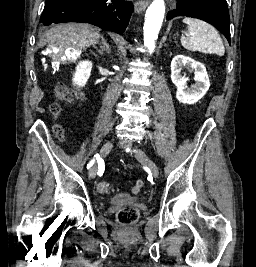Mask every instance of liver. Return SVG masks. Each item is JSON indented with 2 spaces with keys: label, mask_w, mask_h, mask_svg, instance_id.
<instances>
[{
  "label": "liver",
  "mask_w": 256,
  "mask_h": 267,
  "mask_svg": "<svg viewBox=\"0 0 256 267\" xmlns=\"http://www.w3.org/2000/svg\"><path fill=\"white\" fill-rule=\"evenodd\" d=\"M46 38L50 42L47 56L51 58L52 62H61V58L65 56L68 48H73L72 54H74L70 62H76L89 46L98 44L100 32L90 24H57L48 30ZM73 42H77L76 46H72ZM53 48H56L57 54Z\"/></svg>",
  "instance_id": "obj_1"
}]
</instances>
